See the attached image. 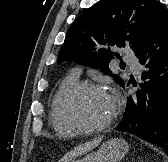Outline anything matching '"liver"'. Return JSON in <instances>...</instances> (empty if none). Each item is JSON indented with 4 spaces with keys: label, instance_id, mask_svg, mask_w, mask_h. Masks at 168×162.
<instances>
[{
    "label": "liver",
    "instance_id": "1",
    "mask_svg": "<svg viewBox=\"0 0 168 162\" xmlns=\"http://www.w3.org/2000/svg\"><path fill=\"white\" fill-rule=\"evenodd\" d=\"M101 141H102V138H99L94 141L81 144L77 146L76 148H74V150L68 152L59 162H69L71 159L78 157L79 155H82L94 149L100 144Z\"/></svg>",
    "mask_w": 168,
    "mask_h": 162
}]
</instances>
